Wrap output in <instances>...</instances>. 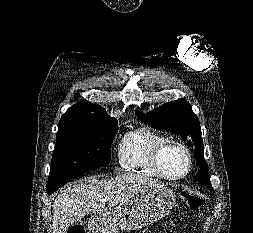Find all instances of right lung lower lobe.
<instances>
[{
  "label": "right lung lower lobe",
  "instance_id": "right-lung-lower-lobe-1",
  "mask_svg": "<svg viewBox=\"0 0 253 233\" xmlns=\"http://www.w3.org/2000/svg\"><path fill=\"white\" fill-rule=\"evenodd\" d=\"M87 169H80V170H73L66 173H63L61 175H58L56 177L48 179L47 183V194L50 195L55 190H57L59 187L63 186L70 180L76 178L77 176L87 172Z\"/></svg>",
  "mask_w": 253,
  "mask_h": 233
}]
</instances>
